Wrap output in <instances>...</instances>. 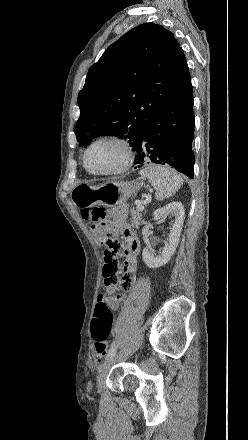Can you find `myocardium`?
Returning <instances> with one entry per match:
<instances>
[{
    "label": "myocardium",
    "mask_w": 248,
    "mask_h": 440,
    "mask_svg": "<svg viewBox=\"0 0 248 440\" xmlns=\"http://www.w3.org/2000/svg\"><path fill=\"white\" fill-rule=\"evenodd\" d=\"M102 142H113L118 144L122 151H123V156H122V160L119 163L118 166L109 169V170H105V171H93L91 170L88 165H87V156L89 151L97 144L102 143ZM133 158V151L132 148L129 144V142L118 136V135H104L101 137L96 138L95 140H93L85 149L84 153H83V166L86 169V171L92 175H96V176H111V175H117V174H121L123 172H125L132 161Z\"/></svg>",
    "instance_id": "f54148a6"
}]
</instances>
